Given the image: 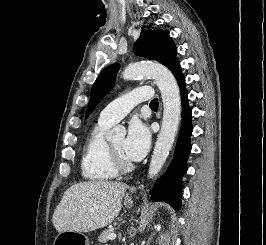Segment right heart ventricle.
Masks as SVG:
<instances>
[{
    "mask_svg": "<svg viewBox=\"0 0 266 245\" xmlns=\"http://www.w3.org/2000/svg\"><path fill=\"white\" fill-rule=\"evenodd\" d=\"M111 125L98 120L86 137L81 157V174L90 183L105 184L118 177L109 163L106 151L105 132Z\"/></svg>",
    "mask_w": 266,
    "mask_h": 245,
    "instance_id": "e07e8e85",
    "label": "right heart ventricle"
}]
</instances>
